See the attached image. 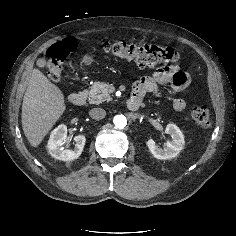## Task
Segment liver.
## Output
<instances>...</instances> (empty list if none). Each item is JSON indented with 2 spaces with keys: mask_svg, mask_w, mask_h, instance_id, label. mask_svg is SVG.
I'll return each mask as SVG.
<instances>
[{
  "mask_svg": "<svg viewBox=\"0 0 236 236\" xmlns=\"http://www.w3.org/2000/svg\"><path fill=\"white\" fill-rule=\"evenodd\" d=\"M66 109L62 91L38 69H34L24 94L22 127L33 147L40 145Z\"/></svg>",
  "mask_w": 236,
  "mask_h": 236,
  "instance_id": "6515ba94",
  "label": "liver"
}]
</instances>
